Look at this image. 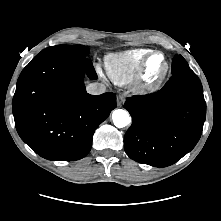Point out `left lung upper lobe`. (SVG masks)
I'll list each match as a JSON object with an SVG mask.
<instances>
[{
	"label": "left lung upper lobe",
	"instance_id": "1",
	"mask_svg": "<svg viewBox=\"0 0 221 221\" xmlns=\"http://www.w3.org/2000/svg\"><path fill=\"white\" fill-rule=\"evenodd\" d=\"M189 66L186 60L181 55H175L172 62V74H175L183 69H188Z\"/></svg>",
	"mask_w": 221,
	"mask_h": 221
}]
</instances>
